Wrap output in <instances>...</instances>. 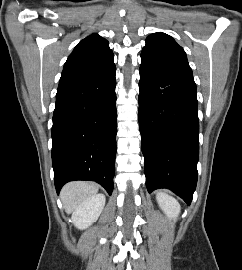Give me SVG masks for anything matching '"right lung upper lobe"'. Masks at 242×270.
Returning a JSON list of instances; mask_svg holds the SVG:
<instances>
[{"instance_id": "1", "label": "right lung upper lobe", "mask_w": 242, "mask_h": 270, "mask_svg": "<svg viewBox=\"0 0 242 270\" xmlns=\"http://www.w3.org/2000/svg\"><path fill=\"white\" fill-rule=\"evenodd\" d=\"M113 52L106 39L92 34L83 39L68 57L59 81V87L77 82L113 61Z\"/></svg>"}]
</instances>
